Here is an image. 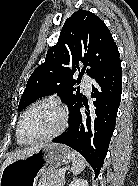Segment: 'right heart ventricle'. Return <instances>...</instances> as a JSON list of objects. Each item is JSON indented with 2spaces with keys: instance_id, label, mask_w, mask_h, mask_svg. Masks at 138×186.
<instances>
[{
  "instance_id": "obj_1",
  "label": "right heart ventricle",
  "mask_w": 138,
  "mask_h": 186,
  "mask_svg": "<svg viewBox=\"0 0 138 186\" xmlns=\"http://www.w3.org/2000/svg\"><path fill=\"white\" fill-rule=\"evenodd\" d=\"M17 141H18V144H19V145H22V144H23L22 142H20V141L18 140V138H17Z\"/></svg>"
}]
</instances>
